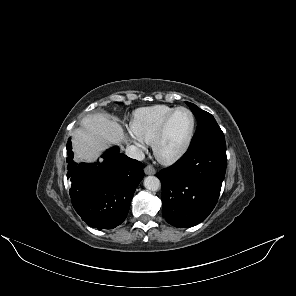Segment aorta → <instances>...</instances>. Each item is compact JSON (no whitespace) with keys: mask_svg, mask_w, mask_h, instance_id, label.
Returning a JSON list of instances; mask_svg holds the SVG:
<instances>
[{"mask_svg":"<svg viewBox=\"0 0 296 296\" xmlns=\"http://www.w3.org/2000/svg\"><path fill=\"white\" fill-rule=\"evenodd\" d=\"M160 180L155 176H147L144 179V186L150 191H157L160 188Z\"/></svg>","mask_w":296,"mask_h":296,"instance_id":"obj_1","label":"aorta"}]
</instances>
